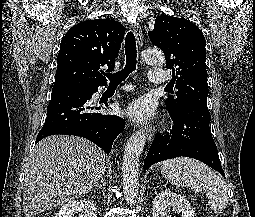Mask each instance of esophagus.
Masks as SVG:
<instances>
[{
  "label": "esophagus",
  "mask_w": 255,
  "mask_h": 217,
  "mask_svg": "<svg viewBox=\"0 0 255 217\" xmlns=\"http://www.w3.org/2000/svg\"><path fill=\"white\" fill-rule=\"evenodd\" d=\"M134 35L136 37V40L140 46L143 44V34H142V29L139 23H134L132 26ZM147 133L148 141H152L154 135H155V129L152 126H145L144 127Z\"/></svg>",
  "instance_id": "34e87169"
}]
</instances>
